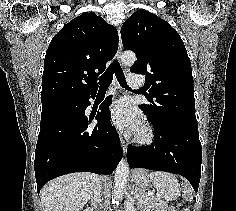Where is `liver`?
I'll use <instances>...</instances> for the list:
<instances>
[{"instance_id":"1","label":"liver","mask_w":236,"mask_h":211,"mask_svg":"<svg viewBox=\"0 0 236 211\" xmlns=\"http://www.w3.org/2000/svg\"><path fill=\"white\" fill-rule=\"evenodd\" d=\"M99 178L89 172H77L48 182L41 190L43 211H80L93 194Z\"/></svg>"}]
</instances>
